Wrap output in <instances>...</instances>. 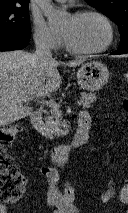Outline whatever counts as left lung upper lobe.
<instances>
[{
	"mask_svg": "<svg viewBox=\"0 0 128 213\" xmlns=\"http://www.w3.org/2000/svg\"><path fill=\"white\" fill-rule=\"evenodd\" d=\"M118 25L121 41L118 49L128 47V0H86Z\"/></svg>",
	"mask_w": 128,
	"mask_h": 213,
	"instance_id": "5c2ea615",
	"label": "left lung upper lobe"
}]
</instances>
